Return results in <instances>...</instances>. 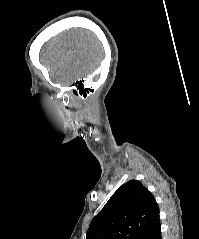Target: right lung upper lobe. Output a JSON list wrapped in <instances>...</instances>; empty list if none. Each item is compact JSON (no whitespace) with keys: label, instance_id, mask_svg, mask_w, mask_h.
<instances>
[{"label":"right lung upper lobe","instance_id":"cb5924a9","mask_svg":"<svg viewBox=\"0 0 199 239\" xmlns=\"http://www.w3.org/2000/svg\"><path fill=\"white\" fill-rule=\"evenodd\" d=\"M159 219L158 205L136 180L121 185L94 217L86 239H139Z\"/></svg>","mask_w":199,"mask_h":239}]
</instances>
